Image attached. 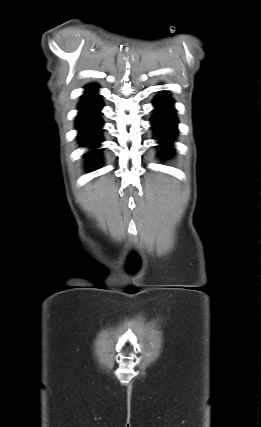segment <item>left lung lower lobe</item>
I'll return each instance as SVG.
<instances>
[{"label": "left lung lower lobe", "instance_id": "1", "mask_svg": "<svg viewBox=\"0 0 261 427\" xmlns=\"http://www.w3.org/2000/svg\"><path fill=\"white\" fill-rule=\"evenodd\" d=\"M172 104L173 101L167 93L159 94L154 100L156 113L151 118V123L157 139L163 144L160 146V153L163 156H167L173 151L169 142L172 141L177 132V119Z\"/></svg>", "mask_w": 261, "mask_h": 427}]
</instances>
